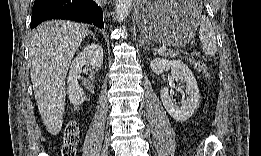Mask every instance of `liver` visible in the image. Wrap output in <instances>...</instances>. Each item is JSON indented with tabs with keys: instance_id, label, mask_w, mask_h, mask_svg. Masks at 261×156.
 <instances>
[{
	"instance_id": "1",
	"label": "liver",
	"mask_w": 261,
	"mask_h": 156,
	"mask_svg": "<svg viewBox=\"0 0 261 156\" xmlns=\"http://www.w3.org/2000/svg\"><path fill=\"white\" fill-rule=\"evenodd\" d=\"M89 33L86 24L66 20L46 21L32 31L30 76L43 124L52 135H57L63 124L69 64Z\"/></svg>"
}]
</instances>
